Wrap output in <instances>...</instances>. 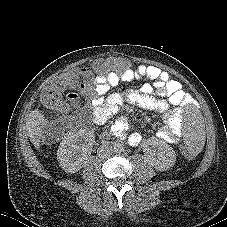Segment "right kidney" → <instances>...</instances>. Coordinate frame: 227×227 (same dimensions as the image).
<instances>
[{"label": "right kidney", "mask_w": 227, "mask_h": 227, "mask_svg": "<svg viewBox=\"0 0 227 227\" xmlns=\"http://www.w3.org/2000/svg\"><path fill=\"white\" fill-rule=\"evenodd\" d=\"M94 142L92 132L79 130L68 134L57 150L60 167L71 174L79 171L91 154Z\"/></svg>", "instance_id": "1"}]
</instances>
